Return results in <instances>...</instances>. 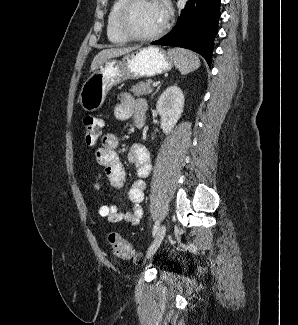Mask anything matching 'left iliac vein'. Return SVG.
Wrapping results in <instances>:
<instances>
[{
	"instance_id": "4c4485c4",
	"label": "left iliac vein",
	"mask_w": 298,
	"mask_h": 325,
	"mask_svg": "<svg viewBox=\"0 0 298 325\" xmlns=\"http://www.w3.org/2000/svg\"><path fill=\"white\" fill-rule=\"evenodd\" d=\"M165 233H166V226L161 225L156 232V235H155V238H154L152 244L148 248V251L146 254L147 258H151L154 255V253L157 251V249L160 247V245L164 239Z\"/></svg>"
}]
</instances>
